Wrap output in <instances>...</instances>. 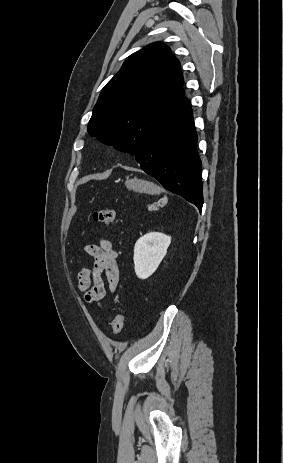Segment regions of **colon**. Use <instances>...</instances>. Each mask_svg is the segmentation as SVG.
Masks as SVG:
<instances>
[{
	"mask_svg": "<svg viewBox=\"0 0 283 463\" xmlns=\"http://www.w3.org/2000/svg\"><path fill=\"white\" fill-rule=\"evenodd\" d=\"M115 219V211L113 209H98L93 212V220L100 224H110ZM125 317L122 313H118L112 322V331L114 335H119L124 328Z\"/></svg>",
	"mask_w": 283,
	"mask_h": 463,
	"instance_id": "obj_1",
	"label": "colon"
}]
</instances>
